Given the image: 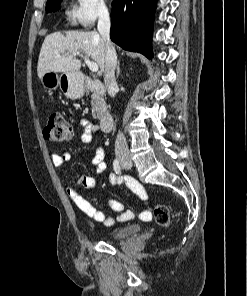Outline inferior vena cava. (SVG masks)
<instances>
[{
	"label": "inferior vena cava",
	"mask_w": 247,
	"mask_h": 296,
	"mask_svg": "<svg viewBox=\"0 0 247 296\" xmlns=\"http://www.w3.org/2000/svg\"><path fill=\"white\" fill-rule=\"evenodd\" d=\"M98 31L102 37L105 46V66H104V82L107 87L108 94L114 97L117 90V82L115 79V68L117 64V55L115 48L110 40V16L106 8H103L99 15ZM116 152L128 151L125 136L121 131L118 132L115 141Z\"/></svg>",
	"instance_id": "inferior-vena-cava-1"
}]
</instances>
